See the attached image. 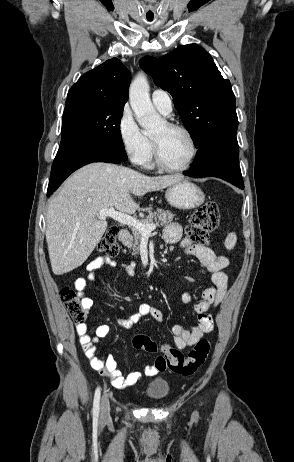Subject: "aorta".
I'll list each match as a JSON object with an SVG mask.
<instances>
[{
    "label": "aorta",
    "instance_id": "obj_1",
    "mask_svg": "<svg viewBox=\"0 0 294 462\" xmlns=\"http://www.w3.org/2000/svg\"><path fill=\"white\" fill-rule=\"evenodd\" d=\"M150 87L144 74L136 76L130 85L129 100L139 125L148 132L160 128L162 119L155 111L149 95Z\"/></svg>",
    "mask_w": 294,
    "mask_h": 462
}]
</instances>
